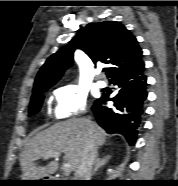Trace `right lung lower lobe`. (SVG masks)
<instances>
[{"mask_svg":"<svg viewBox=\"0 0 178 186\" xmlns=\"http://www.w3.org/2000/svg\"><path fill=\"white\" fill-rule=\"evenodd\" d=\"M143 61L129 66L110 78V83L118 86V94L110 99L112 108L102 106L108 101L106 96L96 100L92 111L98 124L108 133L123 135L130 145L136 140L138 128L147 99V77Z\"/></svg>","mask_w":178,"mask_h":186,"instance_id":"1","label":"right lung lower lobe"}]
</instances>
